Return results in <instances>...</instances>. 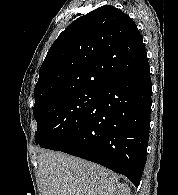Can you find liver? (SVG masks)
I'll list each match as a JSON object with an SVG mask.
<instances>
[{
    "label": "liver",
    "instance_id": "liver-1",
    "mask_svg": "<svg viewBox=\"0 0 178 195\" xmlns=\"http://www.w3.org/2000/svg\"><path fill=\"white\" fill-rule=\"evenodd\" d=\"M42 195H103L119 176L98 164L61 152L38 157Z\"/></svg>",
    "mask_w": 178,
    "mask_h": 195
}]
</instances>
